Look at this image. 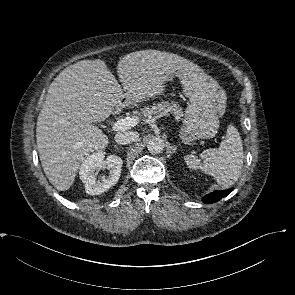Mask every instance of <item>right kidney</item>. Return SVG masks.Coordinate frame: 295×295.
<instances>
[{
	"label": "right kidney",
	"mask_w": 295,
	"mask_h": 295,
	"mask_svg": "<svg viewBox=\"0 0 295 295\" xmlns=\"http://www.w3.org/2000/svg\"><path fill=\"white\" fill-rule=\"evenodd\" d=\"M123 161L116 155L105 158V152L99 151L86 157L80 166V179L89 195H99L115 185L120 177ZM108 169L109 173L101 180H96L97 169Z\"/></svg>",
	"instance_id": "right-kidney-1"
}]
</instances>
